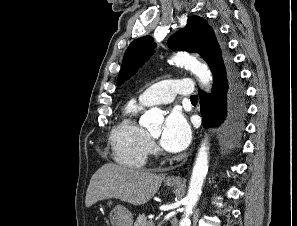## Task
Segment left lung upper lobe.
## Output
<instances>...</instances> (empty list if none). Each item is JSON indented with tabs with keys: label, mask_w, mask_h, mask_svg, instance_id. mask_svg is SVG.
<instances>
[{
	"label": "left lung upper lobe",
	"mask_w": 297,
	"mask_h": 226,
	"mask_svg": "<svg viewBox=\"0 0 297 226\" xmlns=\"http://www.w3.org/2000/svg\"><path fill=\"white\" fill-rule=\"evenodd\" d=\"M169 48L175 51L196 52L208 63L213 76L225 70L229 58L222 54L212 28L198 16L188 18L187 25L168 41ZM155 47L151 36L134 40L125 52L117 84L120 85L132 76L148 59Z\"/></svg>",
	"instance_id": "1"
}]
</instances>
